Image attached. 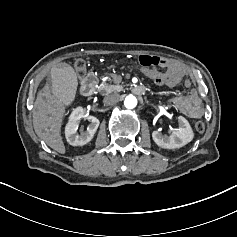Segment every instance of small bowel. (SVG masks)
<instances>
[{"label": "small bowel", "instance_id": "c3829d8e", "mask_svg": "<svg viewBox=\"0 0 237 237\" xmlns=\"http://www.w3.org/2000/svg\"><path fill=\"white\" fill-rule=\"evenodd\" d=\"M143 73L150 79L153 80L155 76L158 75V71L155 69H144ZM165 72L173 76L174 80L169 85H174L178 83L182 78L187 75V70L181 64L175 61H167L165 66ZM185 86L187 88L191 87V81L189 79L185 80ZM143 91L144 86H140ZM171 103L184 115L198 119L205 115V108L201 102L200 96L196 89H192L190 93L186 96H175L171 99Z\"/></svg>", "mask_w": 237, "mask_h": 237}]
</instances>
